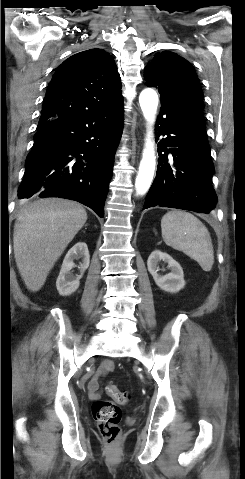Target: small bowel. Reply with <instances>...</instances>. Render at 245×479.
Listing matches in <instances>:
<instances>
[{"instance_id":"1","label":"small bowel","mask_w":245,"mask_h":479,"mask_svg":"<svg viewBox=\"0 0 245 479\" xmlns=\"http://www.w3.org/2000/svg\"><path fill=\"white\" fill-rule=\"evenodd\" d=\"M115 364L112 360H105L97 369L94 377L90 380L88 385L89 397L91 399H98L100 397V380L109 371L113 370Z\"/></svg>"}]
</instances>
